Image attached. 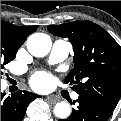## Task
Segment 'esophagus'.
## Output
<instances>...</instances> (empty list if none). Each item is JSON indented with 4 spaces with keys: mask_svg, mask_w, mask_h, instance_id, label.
Masks as SVG:
<instances>
[{
    "mask_svg": "<svg viewBox=\"0 0 121 121\" xmlns=\"http://www.w3.org/2000/svg\"><path fill=\"white\" fill-rule=\"evenodd\" d=\"M46 100L50 103H56L58 100L53 96H48Z\"/></svg>",
    "mask_w": 121,
    "mask_h": 121,
    "instance_id": "34e87169",
    "label": "esophagus"
}]
</instances>
